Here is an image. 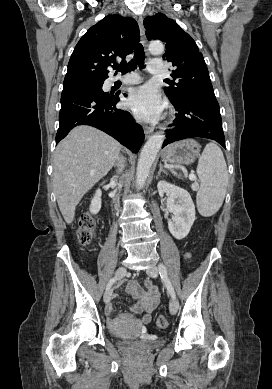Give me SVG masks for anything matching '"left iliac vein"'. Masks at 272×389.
<instances>
[{"label":"left iliac vein","instance_id":"4c4485c4","mask_svg":"<svg viewBox=\"0 0 272 389\" xmlns=\"http://www.w3.org/2000/svg\"><path fill=\"white\" fill-rule=\"evenodd\" d=\"M146 272L152 278H156L158 276V268L156 266H151V267L147 268ZM178 307H179V304H178L177 299L175 297H172L170 304H169L170 313L176 314Z\"/></svg>","mask_w":272,"mask_h":389}]
</instances>
